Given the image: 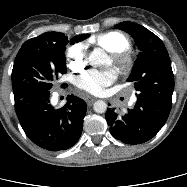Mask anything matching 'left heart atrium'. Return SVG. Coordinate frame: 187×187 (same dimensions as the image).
I'll return each mask as SVG.
<instances>
[{"instance_id": "39dd6f15", "label": "left heart atrium", "mask_w": 187, "mask_h": 187, "mask_svg": "<svg viewBox=\"0 0 187 187\" xmlns=\"http://www.w3.org/2000/svg\"><path fill=\"white\" fill-rule=\"evenodd\" d=\"M117 79V72L114 69L90 70L82 74L77 80L79 89L93 94H102L106 87L110 86Z\"/></svg>"}]
</instances>
